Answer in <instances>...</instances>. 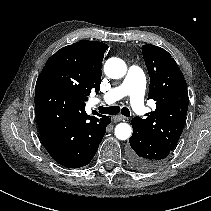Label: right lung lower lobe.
<instances>
[{
    "label": "right lung lower lobe",
    "instance_id": "98d812e1",
    "mask_svg": "<svg viewBox=\"0 0 211 211\" xmlns=\"http://www.w3.org/2000/svg\"><path fill=\"white\" fill-rule=\"evenodd\" d=\"M35 112L42 142L50 156L68 168L86 166L95 156L111 119L87 115L84 101L37 81Z\"/></svg>",
    "mask_w": 211,
    "mask_h": 211
}]
</instances>
